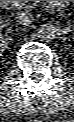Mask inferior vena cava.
<instances>
[{"instance_id": "1", "label": "inferior vena cava", "mask_w": 74, "mask_h": 122, "mask_svg": "<svg viewBox=\"0 0 74 122\" xmlns=\"http://www.w3.org/2000/svg\"><path fill=\"white\" fill-rule=\"evenodd\" d=\"M16 21L24 26H29L33 21V14L28 11H21L16 17Z\"/></svg>"}]
</instances>
